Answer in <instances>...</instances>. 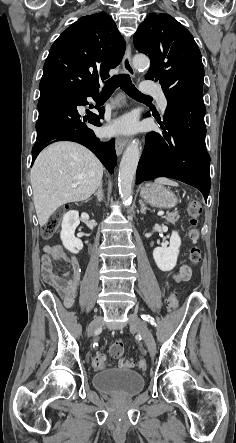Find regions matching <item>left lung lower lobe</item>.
Listing matches in <instances>:
<instances>
[{
    "mask_svg": "<svg viewBox=\"0 0 236 443\" xmlns=\"http://www.w3.org/2000/svg\"><path fill=\"white\" fill-rule=\"evenodd\" d=\"M167 102L164 124L159 122L163 131L146 135L136 184L157 177L174 178L199 189L207 201L211 180L203 94L178 93Z\"/></svg>",
    "mask_w": 236,
    "mask_h": 443,
    "instance_id": "0a47b994",
    "label": "left lung lower lobe"
}]
</instances>
